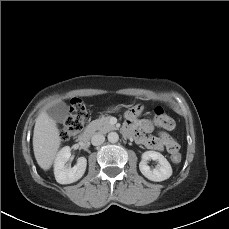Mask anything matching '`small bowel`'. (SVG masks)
I'll list each match as a JSON object with an SVG mask.
<instances>
[{
  "mask_svg": "<svg viewBox=\"0 0 229 229\" xmlns=\"http://www.w3.org/2000/svg\"><path fill=\"white\" fill-rule=\"evenodd\" d=\"M143 112L141 105H135L127 110L125 114V123L123 126V133L128 137H133L137 143L145 146L148 149L162 151L168 142H175L166 131L172 130L168 128L162 121V118L166 115L161 107L155 109L156 126L162 128L164 131L160 132L158 136H146L143 132H150L152 130V124L147 119L140 118Z\"/></svg>",
  "mask_w": 229,
  "mask_h": 229,
  "instance_id": "1",
  "label": "small bowel"
}]
</instances>
